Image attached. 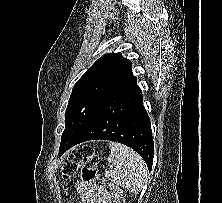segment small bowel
<instances>
[{"label":"small bowel","instance_id":"1","mask_svg":"<svg viewBox=\"0 0 222 203\" xmlns=\"http://www.w3.org/2000/svg\"><path fill=\"white\" fill-rule=\"evenodd\" d=\"M82 203H112L110 194L103 187L94 184H78Z\"/></svg>","mask_w":222,"mask_h":203}]
</instances>
